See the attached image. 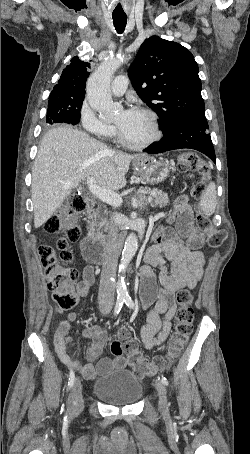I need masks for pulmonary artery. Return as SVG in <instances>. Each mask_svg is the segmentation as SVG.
I'll use <instances>...</instances> for the list:
<instances>
[{
	"mask_svg": "<svg viewBox=\"0 0 250 454\" xmlns=\"http://www.w3.org/2000/svg\"><path fill=\"white\" fill-rule=\"evenodd\" d=\"M128 86V79L125 75L117 76L111 83V91L114 95H122Z\"/></svg>",
	"mask_w": 250,
	"mask_h": 454,
	"instance_id": "1",
	"label": "pulmonary artery"
}]
</instances>
